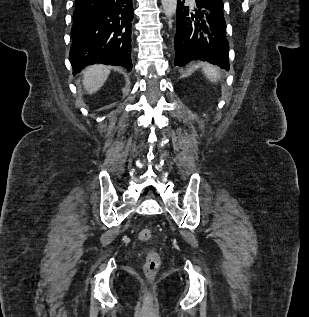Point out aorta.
Listing matches in <instances>:
<instances>
[{
  "instance_id": "aorta-1",
  "label": "aorta",
  "mask_w": 309,
  "mask_h": 317,
  "mask_svg": "<svg viewBox=\"0 0 309 317\" xmlns=\"http://www.w3.org/2000/svg\"><path fill=\"white\" fill-rule=\"evenodd\" d=\"M163 11L167 16H173L177 8V0H161Z\"/></svg>"
}]
</instances>
